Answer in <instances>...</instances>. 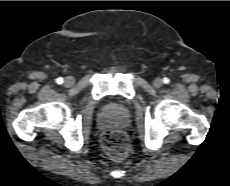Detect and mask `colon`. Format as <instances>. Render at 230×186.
Returning a JSON list of instances; mask_svg holds the SVG:
<instances>
[{
	"label": "colon",
	"instance_id": "obj_1",
	"mask_svg": "<svg viewBox=\"0 0 230 186\" xmlns=\"http://www.w3.org/2000/svg\"><path fill=\"white\" fill-rule=\"evenodd\" d=\"M102 147L107 155L114 160L124 159L129 152L126 135L119 130H108L102 137Z\"/></svg>",
	"mask_w": 230,
	"mask_h": 186
}]
</instances>
